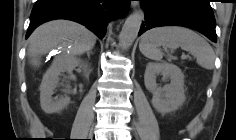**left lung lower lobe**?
Masks as SVG:
<instances>
[{
    "mask_svg": "<svg viewBox=\"0 0 236 140\" xmlns=\"http://www.w3.org/2000/svg\"><path fill=\"white\" fill-rule=\"evenodd\" d=\"M145 22L139 34L160 26H184L216 42L215 18L209 0H141Z\"/></svg>",
    "mask_w": 236,
    "mask_h": 140,
    "instance_id": "1",
    "label": "left lung lower lobe"
}]
</instances>
